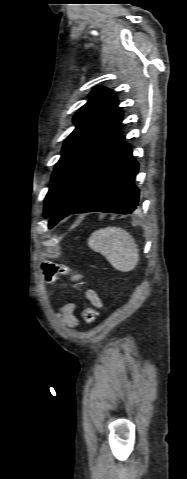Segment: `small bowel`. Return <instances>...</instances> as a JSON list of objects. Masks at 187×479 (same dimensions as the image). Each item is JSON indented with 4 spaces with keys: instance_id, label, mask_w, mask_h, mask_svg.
<instances>
[{
    "instance_id": "small-bowel-1",
    "label": "small bowel",
    "mask_w": 187,
    "mask_h": 479,
    "mask_svg": "<svg viewBox=\"0 0 187 479\" xmlns=\"http://www.w3.org/2000/svg\"><path fill=\"white\" fill-rule=\"evenodd\" d=\"M79 279H80L79 274H74L72 276L73 281H77ZM86 297L94 305H96L98 307L102 306L101 300H100L98 294L94 290H91V289L87 290L86 291ZM75 309H76V304L75 303H73V302L63 303L57 311V318H58L59 322L62 325L68 327V328H72V329L77 328L78 327V320H77V318L74 314Z\"/></svg>"
}]
</instances>
